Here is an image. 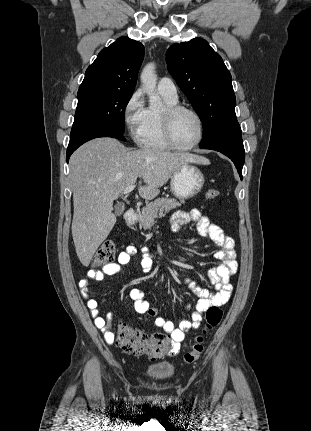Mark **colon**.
I'll return each instance as SVG.
<instances>
[{
	"label": "colon",
	"instance_id": "obj_1",
	"mask_svg": "<svg viewBox=\"0 0 311 431\" xmlns=\"http://www.w3.org/2000/svg\"><path fill=\"white\" fill-rule=\"evenodd\" d=\"M219 194L215 189H208L206 198L215 200ZM115 256L116 250L113 241L106 240L98 248L93 263L95 266H105L111 264ZM222 317L223 312L218 306H211L207 309L201 334L194 338L190 351L184 354L185 363L191 364L199 359L204 350V336L220 324ZM117 344L126 353L137 356L145 355L150 359L171 356L178 350L177 344L165 336L154 335L150 337L125 322H120L117 326Z\"/></svg>",
	"mask_w": 311,
	"mask_h": 431
}]
</instances>
